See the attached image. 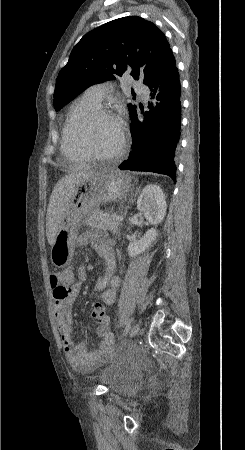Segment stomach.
<instances>
[{
    "label": "stomach",
    "mask_w": 245,
    "mask_h": 450,
    "mask_svg": "<svg viewBox=\"0 0 245 450\" xmlns=\"http://www.w3.org/2000/svg\"><path fill=\"white\" fill-rule=\"evenodd\" d=\"M130 187L128 175L106 169L97 170L76 185L51 248V261L55 267L64 268L71 263L75 238L83 218L102 203L122 199Z\"/></svg>",
    "instance_id": "1"
}]
</instances>
